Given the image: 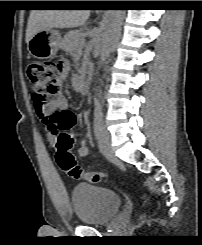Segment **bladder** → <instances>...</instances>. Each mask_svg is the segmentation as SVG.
Returning <instances> with one entry per match:
<instances>
[{
    "instance_id": "bladder-1",
    "label": "bladder",
    "mask_w": 202,
    "mask_h": 245,
    "mask_svg": "<svg viewBox=\"0 0 202 245\" xmlns=\"http://www.w3.org/2000/svg\"><path fill=\"white\" fill-rule=\"evenodd\" d=\"M71 203L80 223L102 225L121 208V196L110 189L92 184L76 185L71 192Z\"/></svg>"
}]
</instances>
